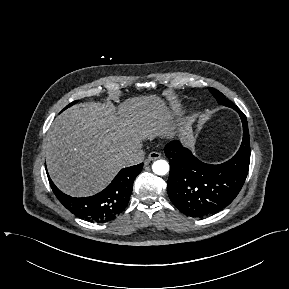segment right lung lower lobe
I'll list each match as a JSON object with an SVG mask.
<instances>
[{
  "label": "right lung lower lobe",
  "instance_id": "1",
  "mask_svg": "<svg viewBox=\"0 0 289 289\" xmlns=\"http://www.w3.org/2000/svg\"><path fill=\"white\" fill-rule=\"evenodd\" d=\"M143 163L122 169L100 193L84 198H75L61 192L48 176L51 188L58 200L73 214L97 223L113 219L127 205L136 176L142 171Z\"/></svg>",
  "mask_w": 289,
  "mask_h": 289
}]
</instances>
